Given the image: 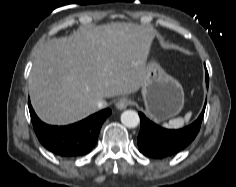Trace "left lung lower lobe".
<instances>
[{"label":"left lung lower lobe","mask_w":236,"mask_h":187,"mask_svg":"<svg viewBox=\"0 0 236 187\" xmlns=\"http://www.w3.org/2000/svg\"><path fill=\"white\" fill-rule=\"evenodd\" d=\"M207 73V72H206ZM208 84L209 79L206 77ZM206 102L199 117L189 126L178 130L164 129L139 113L141 129L138 135L139 151L147 157L162 159L170 157L187 147L199 132Z\"/></svg>","instance_id":"1"}]
</instances>
